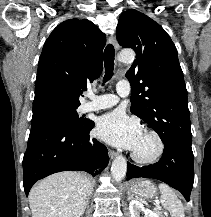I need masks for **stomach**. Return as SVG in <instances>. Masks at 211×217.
<instances>
[{"mask_svg":"<svg viewBox=\"0 0 211 217\" xmlns=\"http://www.w3.org/2000/svg\"><path fill=\"white\" fill-rule=\"evenodd\" d=\"M130 190L142 197L153 198L157 193L155 184L150 180H139L131 185Z\"/></svg>","mask_w":211,"mask_h":217,"instance_id":"1","label":"stomach"}]
</instances>
